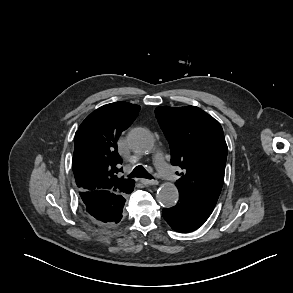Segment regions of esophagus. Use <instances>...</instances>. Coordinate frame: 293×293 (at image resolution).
Segmentation results:
<instances>
[{"label": "esophagus", "mask_w": 293, "mask_h": 293, "mask_svg": "<svg viewBox=\"0 0 293 293\" xmlns=\"http://www.w3.org/2000/svg\"><path fill=\"white\" fill-rule=\"evenodd\" d=\"M140 182L146 186L148 185H157L158 184V181L157 180H148V179H140Z\"/></svg>", "instance_id": "1"}]
</instances>
